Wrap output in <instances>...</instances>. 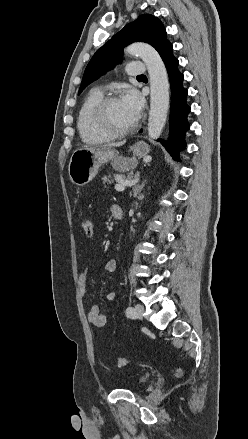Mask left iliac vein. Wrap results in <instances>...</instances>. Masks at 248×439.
<instances>
[{
    "mask_svg": "<svg viewBox=\"0 0 248 439\" xmlns=\"http://www.w3.org/2000/svg\"><path fill=\"white\" fill-rule=\"evenodd\" d=\"M143 313H144V307L141 305H136L132 317L141 320L143 319Z\"/></svg>",
    "mask_w": 248,
    "mask_h": 439,
    "instance_id": "obj_1",
    "label": "left iliac vein"
}]
</instances>
